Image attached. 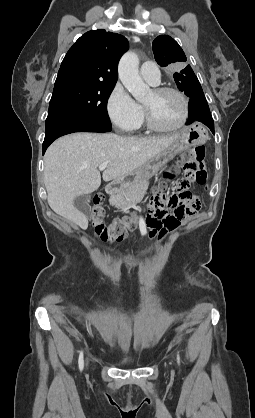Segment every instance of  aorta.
<instances>
[{
    "label": "aorta",
    "instance_id": "1",
    "mask_svg": "<svg viewBox=\"0 0 255 418\" xmlns=\"http://www.w3.org/2000/svg\"><path fill=\"white\" fill-rule=\"evenodd\" d=\"M139 59L133 52L125 53L120 59L118 74L122 84L139 102L150 93V87L143 82L139 72Z\"/></svg>",
    "mask_w": 255,
    "mask_h": 418
}]
</instances>
